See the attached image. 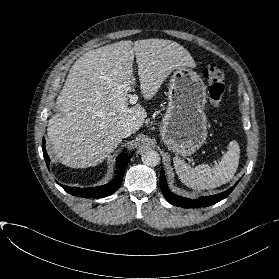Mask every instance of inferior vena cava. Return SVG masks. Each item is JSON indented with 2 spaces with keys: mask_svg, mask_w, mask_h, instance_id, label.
Segmentation results:
<instances>
[{
  "mask_svg": "<svg viewBox=\"0 0 279 279\" xmlns=\"http://www.w3.org/2000/svg\"><path fill=\"white\" fill-rule=\"evenodd\" d=\"M132 133H133V130H132L131 127H125V128L121 131V137H122V138L129 137Z\"/></svg>",
  "mask_w": 279,
  "mask_h": 279,
  "instance_id": "602c4592",
  "label": "inferior vena cava"
}]
</instances>
